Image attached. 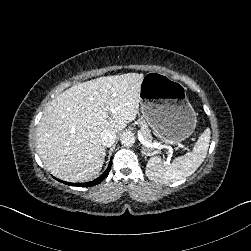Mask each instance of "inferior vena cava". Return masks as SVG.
Masks as SVG:
<instances>
[{
	"instance_id": "inferior-vena-cava-1",
	"label": "inferior vena cava",
	"mask_w": 251,
	"mask_h": 251,
	"mask_svg": "<svg viewBox=\"0 0 251 251\" xmlns=\"http://www.w3.org/2000/svg\"><path fill=\"white\" fill-rule=\"evenodd\" d=\"M100 139L102 146L110 147L116 140V134L112 130H103Z\"/></svg>"
}]
</instances>
